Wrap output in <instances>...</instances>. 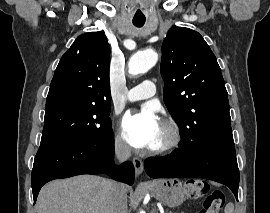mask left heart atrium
<instances>
[{"label":"left heart atrium","instance_id":"1","mask_svg":"<svg viewBox=\"0 0 270 213\" xmlns=\"http://www.w3.org/2000/svg\"><path fill=\"white\" fill-rule=\"evenodd\" d=\"M160 121L152 107H146L141 112L128 113L121 124L123 139L133 148H151L158 130Z\"/></svg>","mask_w":270,"mask_h":213}]
</instances>
